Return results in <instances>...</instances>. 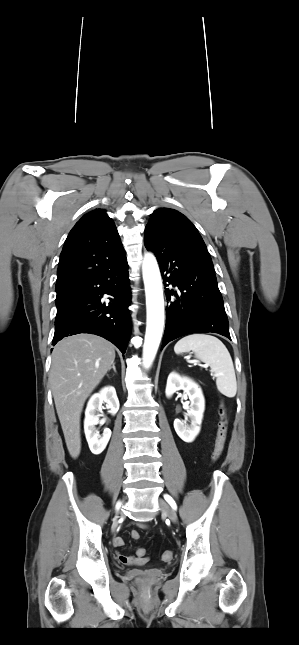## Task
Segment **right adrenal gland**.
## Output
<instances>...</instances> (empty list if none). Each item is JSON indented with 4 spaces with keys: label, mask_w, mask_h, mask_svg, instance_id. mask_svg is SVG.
<instances>
[{
    "label": "right adrenal gland",
    "mask_w": 299,
    "mask_h": 645,
    "mask_svg": "<svg viewBox=\"0 0 299 645\" xmlns=\"http://www.w3.org/2000/svg\"><path fill=\"white\" fill-rule=\"evenodd\" d=\"M111 369H113V371H114L115 373L117 372V371H116V367H115V363H113V364H112Z\"/></svg>",
    "instance_id": "right-adrenal-gland-1"
}]
</instances>
